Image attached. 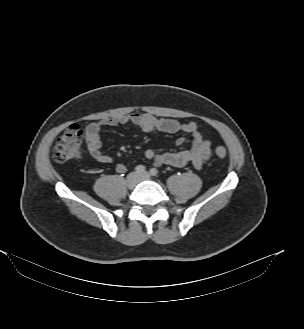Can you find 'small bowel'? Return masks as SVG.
I'll list each match as a JSON object with an SVG mask.
<instances>
[{
	"label": "small bowel",
	"mask_w": 304,
	"mask_h": 329,
	"mask_svg": "<svg viewBox=\"0 0 304 329\" xmlns=\"http://www.w3.org/2000/svg\"><path fill=\"white\" fill-rule=\"evenodd\" d=\"M131 123L140 131L148 133L160 131L164 133H186L191 136V149L180 152H157L152 148L145 151V157L155 165H171L182 167L192 164L201 168L210 158V143L200 133L195 122L182 123L174 119L156 118L149 113L136 112L112 118H106L88 124L85 128V139L91 157L102 164H111L113 158L101 151V132L108 126H119ZM183 140L180 139L179 143ZM126 166L122 163L116 165L118 173H124Z\"/></svg>",
	"instance_id": "small-bowel-1"
}]
</instances>
